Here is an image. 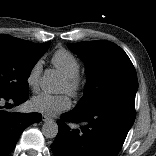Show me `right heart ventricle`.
<instances>
[{
  "instance_id": "1",
  "label": "right heart ventricle",
  "mask_w": 156,
  "mask_h": 156,
  "mask_svg": "<svg viewBox=\"0 0 156 156\" xmlns=\"http://www.w3.org/2000/svg\"><path fill=\"white\" fill-rule=\"evenodd\" d=\"M54 67L63 76H72L80 71V62L73 53L66 49H59L51 57Z\"/></svg>"
}]
</instances>
